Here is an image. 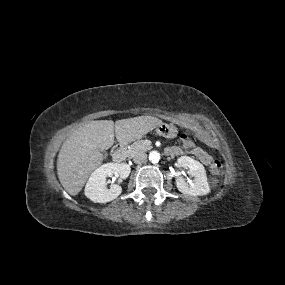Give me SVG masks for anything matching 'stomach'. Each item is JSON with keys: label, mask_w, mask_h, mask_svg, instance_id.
Here are the masks:
<instances>
[{"label": "stomach", "mask_w": 285, "mask_h": 285, "mask_svg": "<svg viewBox=\"0 0 285 285\" xmlns=\"http://www.w3.org/2000/svg\"><path fill=\"white\" fill-rule=\"evenodd\" d=\"M156 131L159 135L165 137H174L177 134V128L173 124L162 123L157 127Z\"/></svg>", "instance_id": "stomach-1"}]
</instances>
